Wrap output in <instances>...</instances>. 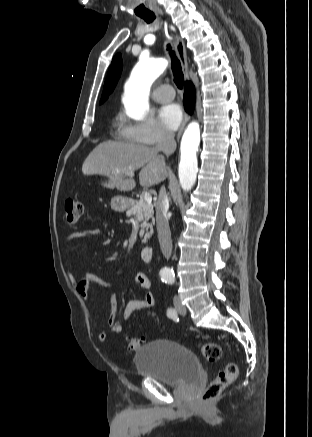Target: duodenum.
<instances>
[{
    "label": "duodenum",
    "mask_w": 312,
    "mask_h": 437,
    "mask_svg": "<svg viewBox=\"0 0 312 437\" xmlns=\"http://www.w3.org/2000/svg\"><path fill=\"white\" fill-rule=\"evenodd\" d=\"M152 257H153V247L146 245L143 246L140 250V259L143 262H151L152 261Z\"/></svg>",
    "instance_id": "duodenum-1"
}]
</instances>
